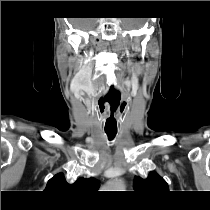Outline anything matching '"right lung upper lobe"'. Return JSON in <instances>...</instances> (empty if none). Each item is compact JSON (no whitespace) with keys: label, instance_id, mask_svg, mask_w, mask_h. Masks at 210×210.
<instances>
[{"label":"right lung upper lobe","instance_id":"1","mask_svg":"<svg viewBox=\"0 0 210 210\" xmlns=\"http://www.w3.org/2000/svg\"><path fill=\"white\" fill-rule=\"evenodd\" d=\"M99 185V181L95 178H79L76 182L70 184L65 180L64 175L59 173L48 181L45 191L54 196L65 198L78 190H97Z\"/></svg>","mask_w":210,"mask_h":210}]
</instances>
